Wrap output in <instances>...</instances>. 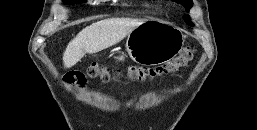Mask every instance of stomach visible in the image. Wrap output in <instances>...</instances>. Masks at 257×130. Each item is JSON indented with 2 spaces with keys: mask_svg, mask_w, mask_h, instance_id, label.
<instances>
[{
  "mask_svg": "<svg viewBox=\"0 0 257 130\" xmlns=\"http://www.w3.org/2000/svg\"><path fill=\"white\" fill-rule=\"evenodd\" d=\"M184 40L178 27L157 19L146 20L128 34L126 52L138 64H162L180 52Z\"/></svg>",
  "mask_w": 257,
  "mask_h": 130,
  "instance_id": "stomach-1",
  "label": "stomach"
}]
</instances>
